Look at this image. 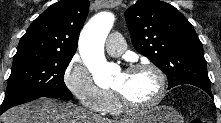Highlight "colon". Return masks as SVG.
<instances>
[{
	"mask_svg": "<svg viewBox=\"0 0 221 123\" xmlns=\"http://www.w3.org/2000/svg\"><path fill=\"white\" fill-rule=\"evenodd\" d=\"M189 123H204V120L200 117L194 116L190 119Z\"/></svg>",
	"mask_w": 221,
	"mask_h": 123,
	"instance_id": "5ec220e1",
	"label": "colon"
}]
</instances>
